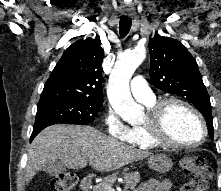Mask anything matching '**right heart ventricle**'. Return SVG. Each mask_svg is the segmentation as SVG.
I'll return each instance as SVG.
<instances>
[{"label": "right heart ventricle", "mask_w": 221, "mask_h": 191, "mask_svg": "<svg viewBox=\"0 0 221 191\" xmlns=\"http://www.w3.org/2000/svg\"><path fill=\"white\" fill-rule=\"evenodd\" d=\"M156 103L154 99L150 103H145L151 108ZM126 142L140 149H152L159 147L150 137V134L144 125L134 126L130 128V136Z\"/></svg>", "instance_id": "right-heart-ventricle-1"}]
</instances>
